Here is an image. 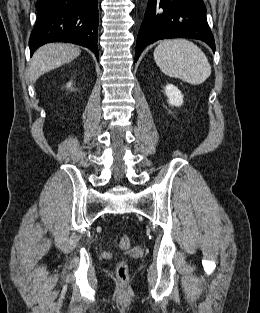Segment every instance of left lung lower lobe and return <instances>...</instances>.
<instances>
[{"label": "left lung lower lobe", "mask_w": 260, "mask_h": 313, "mask_svg": "<svg viewBox=\"0 0 260 313\" xmlns=\"http://www.w3.org/2000/svg\"><path fill=\"white\" fill-rule=\"evenodd\" d=\"M178 37L202 40L215 51L203 0H148L137 38L135 61L147 45Z\"/></svg>", "instance_id": "0a47b994"}]
</instances>
